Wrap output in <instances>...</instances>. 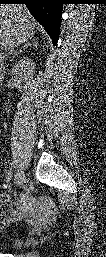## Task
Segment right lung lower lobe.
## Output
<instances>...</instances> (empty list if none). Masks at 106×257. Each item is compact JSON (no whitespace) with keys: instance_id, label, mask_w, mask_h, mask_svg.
<instances>
[{"instance_id":"obj_1","label":"right lung lower lobe","mask_w":106,"mask_h":257,"mask_svg":"<svg viewBox=\"0 0 106 257\" xmlns=\"http://www.w3.org/2000/svg\"><path fill=\"white\" fill-rule=\"evenodd\" d=\"M1 4H25L56 45L62 15V0H0Z\"/></svg>"}]
</instances>
